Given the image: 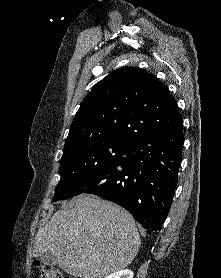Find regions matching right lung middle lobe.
Masks as SVG:
<instances>
[{"mask_svg": "<svg viewBox=\"0 0 221 278\" xmlns=\"http://www.w3.org/2000/svg\"><path fill=\"white\" fill-rule=\"evenodd\" d=\"M129 143L121 138L92 139L64 151L53 201L72 197L79 187L121 158Z\"/></svg>", "mask_w": 221, "mask_h": 278, "instance_id": "dd1d6c3e", "label": "right lung middle lobe"}]
</instances>
